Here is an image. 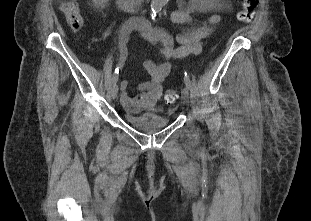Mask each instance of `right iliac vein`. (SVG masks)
I'll list each match as a JSON object with an SVG mask.
<instances>
[{
	"instance_id": "obj_1",
	"label": "right iliac vein",
	"mask_w": 311,
	"mask_h": 221,
	"mask_svg": "<svg viewBox=\"0 0 311 221\" xmlns=\"http://www.w3.org/2000/svg\"><path fill=\"white\" fill-rule=\"evenodd\" d=\"M118 85L116 83H113L112 87H111V97L112 99H115L118 95Z\"/></svg>"
}]
</instances>
